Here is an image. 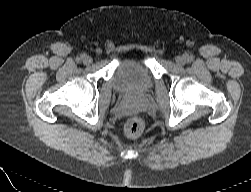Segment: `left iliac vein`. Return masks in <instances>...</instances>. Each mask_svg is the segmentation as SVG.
<instances>
[{"mask_svg": "<svg viewBox=\"0 0 251 192\" xmlns=\"http://www.w3.org/2000/svg\"><path fill=\"white\" fill-rule=\"evenodd\" d=\"M175 60H176L177 65L179 66H182L186 63V58L183 56H177Z\"/></svg>", "mask_w": 251, "mask_h": 192, "instance_id": "obj_1", "label": "left iliac vein"}]
</instances>
